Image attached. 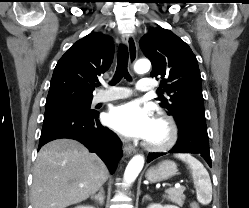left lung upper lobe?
<instances>
[{
    "mask_svg": "<svg viewBox=\"0 0 249 208\" xmlns=\"http://www.w3.org/2000/svg\"><path fill=\"white\" fill-rule=\"evenodd\" d=\"M140 45L152 62L151 77L162 79L160 86L169 96L158 99L160 105L175 121L186 114L205 117L200 71L191 48L161 27L149 30Z\"/></svg>",
    "mask_w": 249,
    "mask_h": 208,
    "instance_id": "left-lung-upper-lobe-1",
    "label": "left lung upper lobe"
}]
</instances>
